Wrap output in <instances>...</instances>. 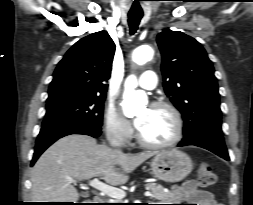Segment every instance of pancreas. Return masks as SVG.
<instances>
[{"mask_svg": "<svg viewBox=\"0 0 253 205\" xmlns=\"http://www.w3.org/2000/svg\"><path fill=\"white\" fill-rule=\"evenodd\" d=\"M145 188L151 192V197L159 201H167L170 198V193H166L163 190V186L156 183L146 184ZM109 203H122L118 199L110 201Z\"/></svg>", "mask_w": 253, "mask_h": 205, "instance_id": "pancreas-1", "label": "pancreas"}]
</instances>
